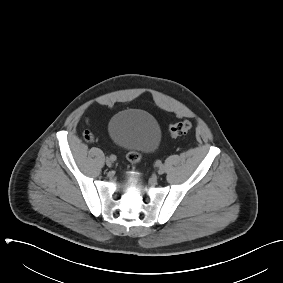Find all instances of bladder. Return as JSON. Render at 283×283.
I'll return each mask as SVG.
<instances>
[{
  "label": "bladder",
  "instance_id": "1",
  "mask_svg": "<svg viewBox=\"0 0 283 283\" xmlns=\"http://www.w3.org/2000/svg\"><path fill=\"white\" fill-rule=\"evenodd\" d=\"M108 133L116 145L138 153L154 152L161 141L158 121L141 109H126L116 113L109 121Z\"/></svg>",
  "mask_w": 283,
  "mask_h": 283
}]
</instances>
